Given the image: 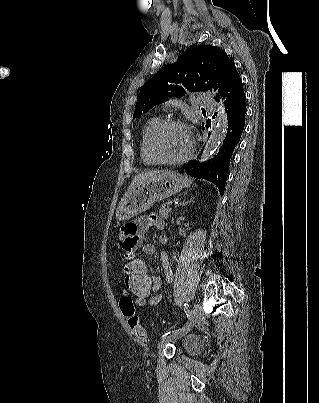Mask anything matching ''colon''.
Here are the masks:
<instances>
[{"mask_svg":"<svg viewBox=\"0 0 319 403\" xmlns=\"http://www.w3.org/2000/svg\"><path fill=\"white\" fill-rule=\"evenodd\" d=\"M130 251L135 253V260L129 262L124 258V267L122 268V275L126 276L125 282L130 296H118L116 301L121 311L122 324L129 325L128 331L136 341L144 342L148 339V335L141 326L136 309H147V300H151L155 278L154 275H149L145 258H139L140 250L133 249ZM133 299H135V303H133Z\"/></svg>","mask_w":319,"mask_h":403,"instance_id":"5ec220e1","label":"colon"}]
</instances>
